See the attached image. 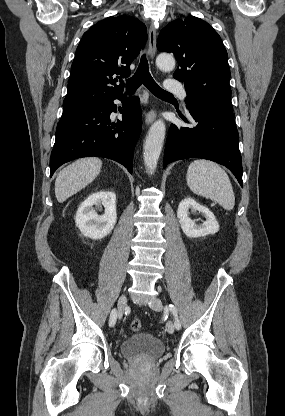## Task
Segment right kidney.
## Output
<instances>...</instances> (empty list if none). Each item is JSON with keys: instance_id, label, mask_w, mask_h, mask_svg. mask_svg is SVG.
<instances>
[{"instance_id": "obj_1", "label": "right kidney", "mask_w": 285, "mask_h": 416, "mask_svg": "<svg viewBox=\"0 0 285 416\" xmlns=\"http://www.w3.org/2000/svg\"><path fill=\"white\" fill-rule=\"evenodd\" d=\"M104 206V214L98 216L95 210ZM95 206V208H94ZM117 222L116 196L114 192H95L90 194L82 204H80L76 216L75 224L82 232L83 236L100 240L111 234Z\"/></svg>"}]
</instances>
